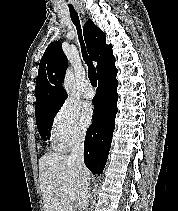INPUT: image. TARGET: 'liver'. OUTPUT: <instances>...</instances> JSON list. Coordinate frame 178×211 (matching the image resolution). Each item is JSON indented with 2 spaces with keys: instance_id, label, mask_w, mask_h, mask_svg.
Returning a JSON list of instances; mask_svg holds the SVG:
<instances>
[{
  "instance_id": "6515ba94",
  "label": "liver",
  "mask_w": 178,
  "mask_h": 211,
  "mask_svg": "<svg viewBox=\"0 0 178 211\" xmlns=\"http://www.w3.org/2000/svg\"><path fill=\"white\" fill-rule=\"evenodd\" d=\"M89 177V170L86 167L80 169L70 156L59 153L42 156L39 159V182L44 211H73L64 187L83 205L82 186Z\"/></svg>"
}]
</instances>
